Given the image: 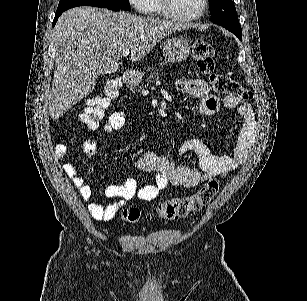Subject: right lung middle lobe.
Returning a JSON list of instances; mask_svg holds the SVG:
<instances>
[{
	"mask_svg": "<svg viewBox=\"0 0 307 301\" xmlns=\"http://www.w3.org/2000/svg\"><path fill=\"white\" fill-rule=\"evenodd\" d=\"M83 5L130 11L128 0H60L56 14Z\"/></svg>",
	"mask_w": 307,
	"mask_h": 301,
	"instance_id": "dd1d6c3e",
	"label": "right lung middle lobe"
}]
</instances>
